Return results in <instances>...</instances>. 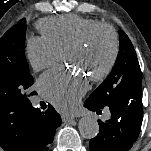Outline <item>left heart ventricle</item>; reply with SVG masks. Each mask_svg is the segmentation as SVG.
Segmentation results:
<instances>
[{
	"label": "left heart ventricle",
	"instance_id": "obj_1",
	"mask_svg": "<svg viewBox=\"0 0 151 151\" xmlns=\"http://www.w3.org/2000/svg\"><path fill=\"white\" fill-rule=\"evenodd\" d=\"M111 50L110 37L107 33L101 32L92 38L86 48L72 54L69 60L90 76L101 71L106 66L111 56Z\"/></svg>",
	"mask_w": 151,
	"mask_h": 151
}]
</instances>
